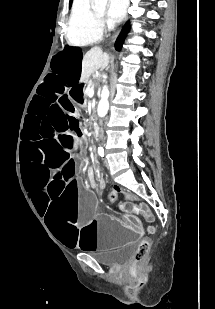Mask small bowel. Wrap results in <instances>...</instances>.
Here are the masks:
<instances>
[{"label": "small bowel", "instance_id": "1", "mask_svg": "<svg viewBox=\"0 0 215 309\" xmlns=\"http://www.w3.org/2000/svg\"><path fill=\"white\" fill-rule=\"evenodd\" d=\"M146 217L147 219L152 220V215L150 213Z\"/></svg>", "mask_w": 215, "mask_h": 309}]
</instances>
